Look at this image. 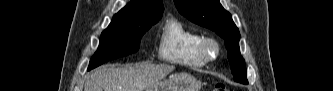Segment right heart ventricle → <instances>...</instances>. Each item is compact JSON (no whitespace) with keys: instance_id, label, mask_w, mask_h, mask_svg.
<instances>
[{"instance_id":"e07e8e85","label":"right heart ventricle","mask_w":333,"mask_h":91,"mask_svg":"<svg viewBox=\"0 0 333 91\" xmlns=\"http://www.w3.org/2000/svg\"><path fill=\"white\" fill-rule=\"evenodd\" d=\"M204 36L183 22L171 18L164 24L159 39V56L162 60L190 68L206 65L200 52Z\"/></svg>"}]
</instances>
